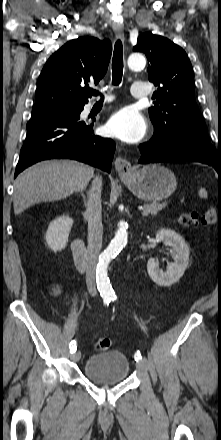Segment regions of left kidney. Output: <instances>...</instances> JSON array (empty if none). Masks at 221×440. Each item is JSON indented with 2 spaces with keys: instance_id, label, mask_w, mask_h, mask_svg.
<instances>
[{
  "instance_id": "obj_1",
  "label": "left kidney",
  "mask_w": 221,
  "mask_h": 440,
  "mask_svg": "<svg viewBox=\"0 0 221 440\" xmlns=\"http://www.w3.org/2000/svg\"><path fill=\"white\" fill-rule=\"evenodd\" d=\"M156 240L171 247L173 263L168 266L166 272H163L159 269L158 262L150 258L147 262V271L154 283L168 287L183 276L189 263L190 248L185 240L171 229H160L156 233Z\"/></svg>"
}]
</instances>
